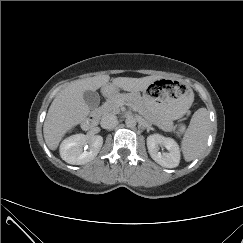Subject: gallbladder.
I'll use <instances>...</instances> for the list:
<instances>
[{
  "label": "gallbladder",
  "instance_id": "1",
  "mask_svg": "<svg viewBox=\"0 0 243 243\" xmlns=\"http://www.w3.org/2000/svg\"><path fill=\"white\" fill-rule=\"evenodd\" d=\"M85 103L89 108L94 109L99 105L100 96L96 91L86 90L83 94Z\"/></svg>",
  "mask_w": 243,
  "mask_h": 243
}]
</instances>
